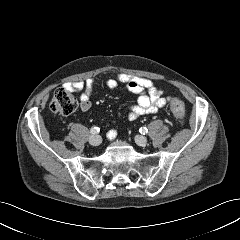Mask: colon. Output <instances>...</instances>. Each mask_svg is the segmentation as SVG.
I'll return each mask as SVG.
<instances>
[{
    "label": "colon",
    "mask_w": 240,
    "mask_h": 240,
    "mask_svg": "<svg viewBox=\"0 0 240 240\" xmlns=\"http://www.w3.org/2000/svg\"><path fill=\"white\" fill-rule=\"evenodd\" d=\"M79 103L75 96L66 88H57L50 103V110L57 115L67 116L77 110ZM170 110L174 117L183 122L185 119V106L177 98L170 100Z\"/></svg>",
    "instance_id": "colon-1"
}]
</instances>
